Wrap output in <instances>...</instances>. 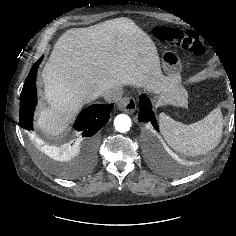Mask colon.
<instances>
[{"instance_id":"obj_1","label":"colon","mask_w":236,"mask_h":236,"mask_svg":"<svg viewBox=\"0 0 236 236\" xmlns=\"http://www.w3.org/2000/svg\"><path fill=\"white\" fill-rule=\"evenodd\" d=\"M155 36L159 40L166 41L197 56H201L206 52L205 46L195 35L180 29L157 27Z\"/></svg>"}]
</instances>
